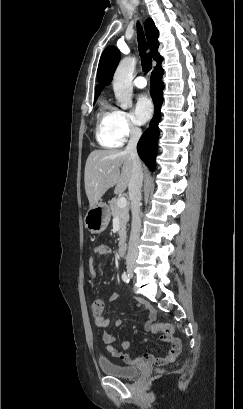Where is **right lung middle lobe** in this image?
Wrapping results in <instances>:
<instances>
[{"instance_id":"1","label":"right lung middle lobe","mask_w":243,"mask_h":409,"mask_svg":"<svg viewBox=\"0 0 243 409\" xmlns=\"http://www.w3.org/2000/svg\"><path fill=\"white\" fill-rule=\"evenodd\" d=\"M98 97H95V101L97 100Z\"/></svg>"}]
</instances>
